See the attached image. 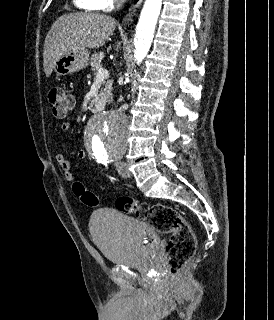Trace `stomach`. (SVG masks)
<instances>
[{
  "label": "stomach",
  "instance_id": "0dacf381",
  "mask_svg": "<svg viewBox=\"0 0 274 320\" xmlns=\"http://www.w3.org/2000/svg\"><path fill=\"white\" fill-rule=\"evenodd\" d=\"M89 64L88 50H67L61 54L59 60L53 66L54 72L57 76H68L73 72L84 70Z\"/></svg>",
  "mask_w": 274,
  "mask_h": 320
}]
</instances>
